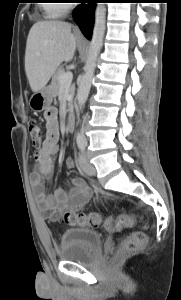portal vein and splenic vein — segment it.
Masks as SVG:
<instances>
[{"label": "portal vein and splenic vein", "mask_w": 181, "mask_h": 300, "mask_svg": "<svg viewBox=\"0 0 181 300\" xmlns=\"http://www.w3.org/2000/svg\"><path fill=\"white\" fill-rule=\"evenodd\" d=\"M73 74L72 72H65L60 76V83L62 86H69L72 82Z\"/></svg>", "instance_id": "portal-vein-and-splenic-vein-1"}]
</instances>
